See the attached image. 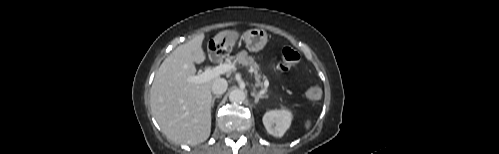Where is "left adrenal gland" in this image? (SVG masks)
<instances>
[{
    "instance_id": "left-adrenal-gland-1",
    "label": "left adrenal gland",
    "mask_w": 499,
    "mask_h": 154,
    "mask_svg": "<svg viewBox=\"0 0 499 154\" xmlns=\"http://www.w3.org/2000/svg\"><path fill=\"white\" fill-rule=\"evenodd\" d=\"M251 96L255 98V104H258L260 99L268 98L267 95H262V94L256 92V90H253V92H251Z\"/></svg>"
}]
</instances>
